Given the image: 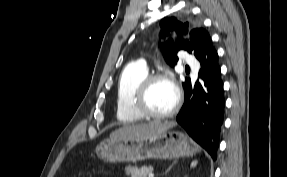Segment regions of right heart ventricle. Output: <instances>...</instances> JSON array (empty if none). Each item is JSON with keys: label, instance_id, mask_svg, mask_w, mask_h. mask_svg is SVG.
Wrapping results in <instances>:
<instances>
[{"label": "right heart ventricle", "instance_id": "e07e8e85", "mask_svg": "<svg viewBox=\"0 0 287 177\" xmlns=\"http://www.w3.org/2000/svg\"><path fill=\"white\" fill-rule=\"evenodd\" d=\"M148 74V68L139 63L129 64L121 72L116 88V117L121 123H136L143 119L133 108L132 100Z\"/></svg>", "mask_w": 287, "mask_h": 177}]
</instances>
